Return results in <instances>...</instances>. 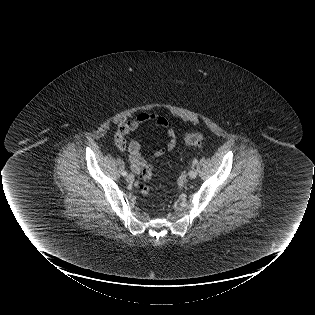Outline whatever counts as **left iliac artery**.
Returning a JSON list of instances; mask_svg holds the SVG:
<instances>
[{
  "label": "left iliac artery",
  "instance_id": "left-iliac-artery-1",
  "mask_svg": "<svg viewBox=\"0 0 315 315\" xmlns=\"http://www.w3.org/2000/svg\"><path fill=\"white\" fill-rule=\"evenodd\" d=\"M198 163V160L197 159H194L193 160V164H197Z\"/></svg>",
  "mask_w": 315,
  "mask_h": 315
}]
</instances>
